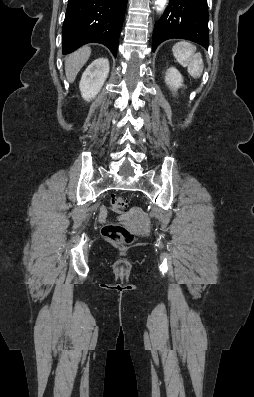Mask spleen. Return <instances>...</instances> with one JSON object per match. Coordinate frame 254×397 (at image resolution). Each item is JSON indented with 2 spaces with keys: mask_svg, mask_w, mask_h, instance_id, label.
I'll return each instance as SVG.
<instances>
[{
  "mask_svg": "<svg viewBox=\"0 0 254 397\" xmlns=\"http://www.w3.org/2000/svg\"><path fill=\"white\" fill-rule=\"evenodd\" d=\"M173 55L184 67L187 66L188 73L193 78H200L203 72V59L201 53H195L196 47L187 41L176 43L173 48Z\"/></svg>",
  "mask_w": 254,
  "mask_h": 397,
  "instance_id": "obj_1",
  "label": "spleen"
}]
</instances>
